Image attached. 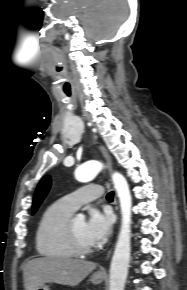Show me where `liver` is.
<instances>
[{
	"mask_svg": "<svg viewBox=\"0 0 187 290\" xmlns=\"http://www.w3.org/2000/svg\"><path fill=\"white\" fill-rule=\"evenodd\" d=\"M96 268L90 261L62 258L40 257L23 265L25 290H36L45 283L76 286Z\"/></svg>",
	"mask_w": 187,
	"mask_h": 290,
	"instance_id": "6515ba94",
	"label": "liver"
}]
</instances>
